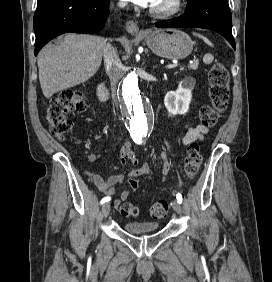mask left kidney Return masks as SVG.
Returning <instances> with one entry per match:
<instances>
[{
    "mask_svg": "<svg viewBox=\"0 0 272 282\" xmlns=\"http://www.w3.org/2000/svg\"><path fill=\"white\" fill-rule=\"evenodd\" d=\"M194 86V79H185L179 83L176 91H170L165 95L164 105L169 114L175 116L187 113Z\"/></svg>",
    "mask_w": 272,
    "mask_h": 282,
    "instance_id": "5707ae66",
    "label": "left kidney"
}]
</instances>
